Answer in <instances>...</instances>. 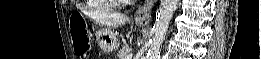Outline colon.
<instances>
[{"label":"colon","instance_id":"5ec220e1","mask_svg":"<svg viewBox=\"0 0 261 59\" xmlns=\"http://www.w3.org/2000/svg\"><path fill=\"white\" fill-rule=\"evenodd\" d=\"M71 35L73 38L74 50L81 57H84L89 49V35L87 30L82 25H77L72 22L71 25Z\"/></svg>","mask_w":261,"mask_h":59}]
</instances>
